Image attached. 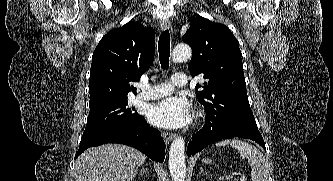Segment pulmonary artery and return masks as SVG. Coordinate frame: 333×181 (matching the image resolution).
Here are the masks:
<instances>
[{
    "mask_svg": "<svg viewBox=\"0 0 333 181\" xmlns=\"http://www.w3.org/2000/svg\"><path fill=\"white\" fill-rule=\"evenodd\" d=\"M172 83L175 86L181 87L187 84V76L184 73H176L172 76ZM173 92V87L170 83H159L149 85L146 89L137 96L140 100H154L170 95Z\"/></svg>",
    "mask_w": 333,
    "mask_h": 181,
    "instance_id": "e3ab8cb5",
    "label": "pulmonary artery"
}]
</instances>
